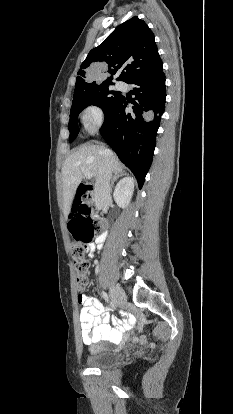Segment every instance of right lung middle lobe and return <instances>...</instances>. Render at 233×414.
<instances>
[{
  "instance_id": "obj_1",
  "label": "right lung middle lobe",
  "mask_w": 233,
  "mask_h": 414,
  "mask_svg": "<svg viewBox=\"0 0 233 414\" xmlns=\"http://www.w3.org/2000/svg\"><path fill=\"white\" fill-rule=\"evenodd\" d=\"M111 85H113L112 82L100 84L73 97V103L70 111V121L68 125V129L70 131L69 142H72L79 133L77 117L84 108L89 105H96L105 113L119 100L121 95H119L118 92L111 91Z\"/></svg>"
}]
</instances>
